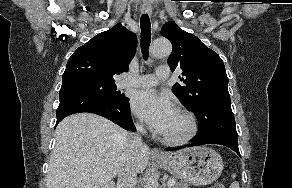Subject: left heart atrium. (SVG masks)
<instances>
[{
	"mask_svg": "<svg viewBox=\"0 0 292 188\" xmlns=\"http://www.w3.org/2000/svg\"><path fill=\"white\" fill-rule=\"evenodd\" d=\"M132 109L138 117L162 134L176 113L169 97L152 89L138 91L132 99Z\"/></svg>",
	"mask_w": 292,
	"mask_h": 188,
	"instance_id": "1",
	"label": "left heart atrium"
}]
</instances>
